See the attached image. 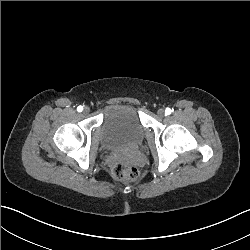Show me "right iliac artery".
Listing matches in <instances>:
<instances>
[{
    "label": "right iliac artery",
    "mask_w": 250,
    "mask_h": 250,
    "mask_svg": "<svg viewBox=\"0 0 250 250\" xmlns=\"http://www.w3.org/2000/svg\"><path fill=\"white\" fill-rule=\"evenodd\" d=\"M82 110H83V107L81 105L77 107L78 112H82Z\"/></svg>",
    "instance_id": "82829eb1"
}]
</instances>
